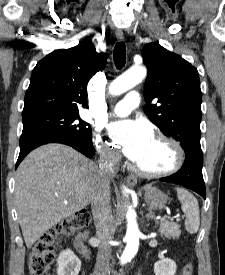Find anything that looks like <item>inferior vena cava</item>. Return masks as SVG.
<instances>
[{
    "label": "inferior vena cava",
    "instance_id": "inferior-vena-cava-1",
    "mask_svg": "<svg viewBox=\"0 0 225 275\" xmlns=\"http://www.w3.org/2000/svg\"><path fill=\"white\" fill-rule=\"evenodd\" d=\"M119 154L107 149L102 152L98 182L91 198V208L96 227V236L100 242L94 275H106L109 265L113 239V217L110 205V180L117 164Z\"/></svg>",
    "mask_w": 225,
    "mask_h": 275
}]
</instances>
